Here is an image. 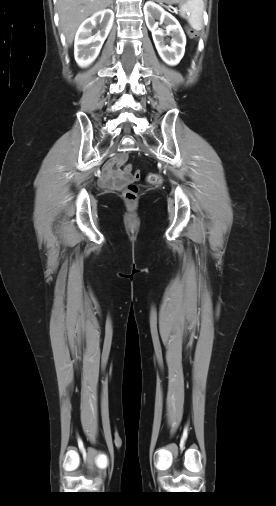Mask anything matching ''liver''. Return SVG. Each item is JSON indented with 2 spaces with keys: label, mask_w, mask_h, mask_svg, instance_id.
I'll list each match as a JSON object with an SVG mask.
<instances>
[{
  "label": "liver",
  "mask_w": 276,
  "mask_h": 506,
  "mask_svg": "<svg viewBox=\"0 0 276 506\" xmlns=\"http://www.w3.org/2000/svg\"><path fill=\"white\" fill-rule=\"evenodd\" d=\"M113 0H58L60 26L69 44L79 25L90 15L105 9Z\"/></svg>",
  "instance_id": "1"
}]
</instances>
